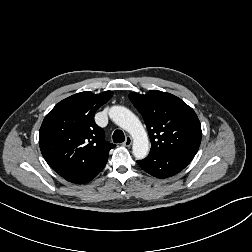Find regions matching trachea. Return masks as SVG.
<instances>
[{"label":"trachea","instance_id":"3493384b","mask_svg":"<svg viewBox=\"0 0 252 252\" xmlns=\"http://www.w3.org/2000/svg\"><path fill=\"white\" fill-rule=\"evenodd\" d=\"M124 140H125V136H124L123 131H121V130L114 131V133H113V142L121 143Z\"/></svg>","mask_w":252,"mask_h":252}]
</instances>
